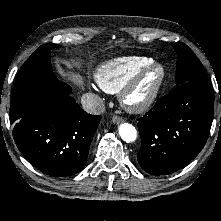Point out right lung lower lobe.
<instances>
[{"label": "right lung lower lobe", "mask_w": 221, "mask_h": 221, "mask_svg": "<svg viewBox=\"0 0 221 221\" xmlns=\"http://www.w3.org/2000/svg\"><path fill=\"white\" fill-rule=\"evenodd\" d=\"M71 91L58 79L46 80L13 94L10 103L18 149L39 170L54 177L83 169L101 120L84 112Z\"/></svg>", "instance_id": "right-lung-lower-lobe-1"}]
</instances>
